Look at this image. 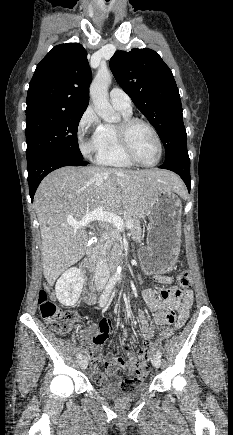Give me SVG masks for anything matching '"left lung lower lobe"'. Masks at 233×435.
I'll return each instance as SVG.
<instances>
[{
  "label": "left lung lower lobe",
  "instance_id": "0a47b994",
  "mask_svg": "<svg viewBox=\"0 0 233 435\" xmlns=\"http://www.w3.org/2000/svg\"><path fill=\"white\" fill-rule=\"evenodd\" d=\"M159 168L168 169L177 173L182 178L190 192V159L187 148L178 150L173 155L166 158L165 162L159 166Z\"/></svg>",
  "mask_w": 233,
  "mask_h": 435
}]
</instances>
